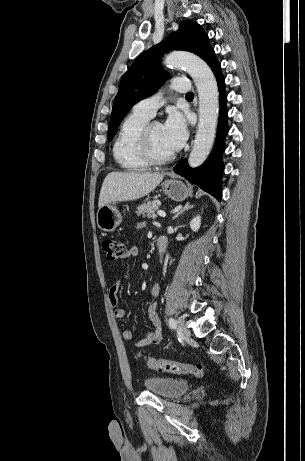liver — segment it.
Returning <instances> with one entry per match:
<instances>
[{
	"instance_id": "6515ba94",
	"label": "liver",
	"mask_w": 305,
	"mask_h": 461,
	"mask_svg": "<svg viewBox=\"0 0 305 461\" xmlns=\"http://www.w3.org/2000/svg\"><path fill=\"white\" fill-rule=\"evenodd\" d=\"M163 177L160 173L111 172L103 181L98 206L139 199L153 191Z\"/></svg>"
}]
</instances>
